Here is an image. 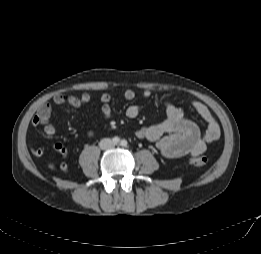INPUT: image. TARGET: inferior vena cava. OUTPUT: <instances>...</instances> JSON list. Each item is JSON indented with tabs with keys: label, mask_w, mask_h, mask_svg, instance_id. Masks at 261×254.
<instances>
[{
	"label": "inferior vena cava",
	"mask_w": 261,
	"mask_h": 254,
	"mask_svg": "<svg viewBox=\"0 0 261 254\" xmlns=\"http://www.w3.org/2000/svg\"><path fill=\"white\" fill-rule=\"evenodd\" d=\"M99 146L102 150H108L113 148L114 143L110 138H104L100 141Z\"/></svg>",
	"instance_id": "inferior-vena-cava-1"
}]
</instances>
